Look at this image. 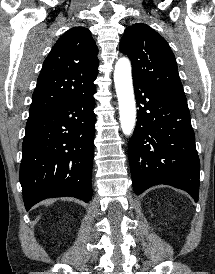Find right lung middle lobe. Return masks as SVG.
I'll list each match as a JSON object with an SVG mask.
<instances>
[{"instance_id": "dd1d6c3e", "label": "right lung middle lobe", "mask_w": 215, "mask_h": 274, "mask_svg": "<svg viewBox=\"0 0 215 274\" xmlns=\"http://www.w3.org/2000/svg\"><path fill=\"white\" fill-rule=\"evenodd\" d=\"M42 114H36V113H29V118L27 122L33 121L35 119H37L39 116H41Z\"/></svg>"}]
</instances>
